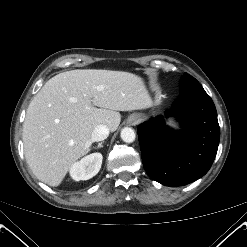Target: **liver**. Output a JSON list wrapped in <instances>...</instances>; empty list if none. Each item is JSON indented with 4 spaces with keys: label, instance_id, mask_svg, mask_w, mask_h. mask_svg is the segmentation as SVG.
<instances>
[{
    "label": "liver",
    "instance_id": "6515ba94",
    "mask_svg": "<svg viewBox=\"0 0 247 247\" xmlns=\"http://www.w3.org/2000/svg\"><path fill=\"white\" fill-rule=\"evenodd\" d=\"M149 103L144 80L129 72L77 69L52 77L30 102L23 124L30 169L43 183L60 185L71 166L90 151L96 126L114 132L119 111L144 109Z\"/></svg>",
    "mask_w": 247,
    "mask_h": 247
}]
</instances>
